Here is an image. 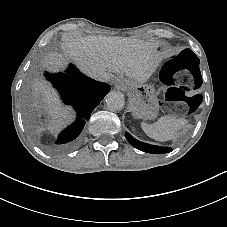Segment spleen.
<instances>
[{
    "mask_svg": "<svg viewBox=\"0 0 227 227\" xmlns=\"http://www.w3.org/2000/svg\"><path fill=\"white\" fill-rule=\"evenodd\" d=\"M186 124V119H175L169 116H163L153 124L142 123L141 127L147 136L157 141L164 142L175 139L177 131Z\"/></svg>",
    "mask_w": 227,
    "mask_h": 227,
    "instance_id": "obj_1",
    "label": "spleen"
}]
</instances>
